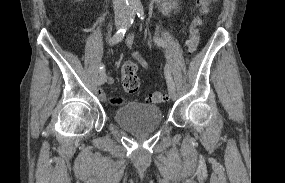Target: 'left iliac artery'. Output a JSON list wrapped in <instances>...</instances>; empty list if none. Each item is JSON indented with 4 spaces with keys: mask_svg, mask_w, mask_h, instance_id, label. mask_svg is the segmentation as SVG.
I'll return each mask as SVG.
<instances>
[{
    "mask_svg": "<svg viewBox=\"0 0 285 183\" xmlns=\"http://www.w3.org/2000/svg\"><path fill=\"white\" fill-rule=\"evenodd\" d=\"M136 11H137V15L138 17L143 20L144 19V10H143V7H137L136 8ZM154 41L156 44H158L159 46H162V47H165V42L160 39V38H154ZM164 73H165V77H166V81H167V84L168 86H171V87H175V84H174V81L172 79V76H171V71H170V67L168 64H166L165 66V69H164Z\"/></svg>",
    "mask_w": 285,
    "mask_h": 183,
    "instance_id": "obj_1",
    "label": "left iliac artery"
}]
</instances>
